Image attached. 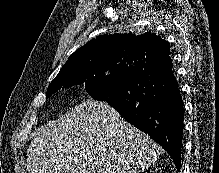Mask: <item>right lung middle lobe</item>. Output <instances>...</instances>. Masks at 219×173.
<instances>
[{
    "mask_svg": "<svg viewBox=\"0 0 219 173\" xmlns=\"http://www.w3.org/2000/svg\"><path fill=\"white\" fill-rule=\"evenodd\" d=\"M135 66L126 62H116L79 74L67 72L58 76L47 89V98L61 88L83 84L87 93L95 100L105 101L115 86Z\"/></svg>",
    "mask_w": 219,
    "mask_h": 173,
    "instance_id": "right-lung-middle-lobe-1",
    "label": "right lung middle lobe"
}]
</instances>
